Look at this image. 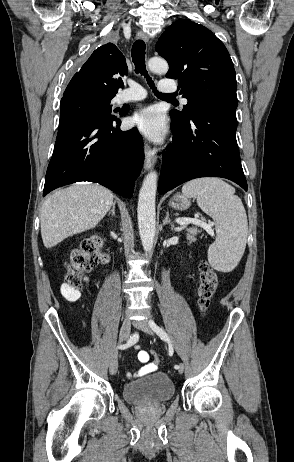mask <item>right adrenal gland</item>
Returning a JSON list of instances; mask_svg holds the SVG:
<instances>
[{
  "label": "right adrenal gland",
  "mask_w": 294,
  "mask_h": 462,
  "mask_svg": "<svg viewBox=\"0 0 294 462\" xmlns=\"http://www.w3.org/2000/svg\"><path fill=\"white\" fill-rule=\"evenodd\" d=\"M115 205H116V202H113V204H112V210L108 213L109 216H110V214H112L113 216H115Z\"/></svg>",
  "instance_id": "right-adrenal-gland-1"
}]
</instances>
